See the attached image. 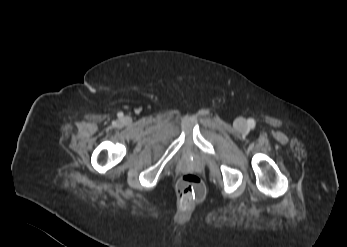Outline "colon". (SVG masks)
<instances>
[{"mask_svg":"<svg viewBox=\"0 0 347 247\" xmlns=\"http://www.w3.org/2000/svg\"><path fill=\"white\" fill-rule=\"evenodd\" d=\"M177 192L185 202L201 200L205 195V188L200 178L193 174H184L177 184Z\"/></svg>","mask_w":347,"mask_h":247,"instance_id":"obj_1","label":"colon"}]
</instances>
